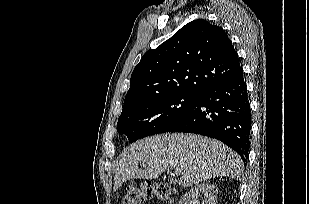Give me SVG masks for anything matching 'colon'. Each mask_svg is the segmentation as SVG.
<instances>
[{"label":"colon","instance_id":"5ec220e1","mask_svg":"<svg viewBox=\"0 0 309 204\" xmlns=\"http://www.w3.org/2000/svg\"><path fill=\"white\" fill-rule=\"evenodd\" d=\"M173 194V189L167 182H143L139 186H128L123 192V204H141L146 200L158 198L168 200Z\"/></svg>","mask_w":309,"mask_h":204}]
</instances>
